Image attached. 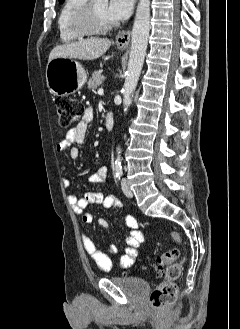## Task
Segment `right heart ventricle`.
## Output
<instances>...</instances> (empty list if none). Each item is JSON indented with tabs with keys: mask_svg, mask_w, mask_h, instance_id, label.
I'll use <instances>...</instances> for the list:
<instances>
[{
	"mask_svg": "<svg viewBox=\"0 0 240 329\" xmlns=\"http://www.w3.org/2000/svg\"><path fill=\"white\" fill-rule=\"evenodd\" d=\"M86 0H65L57 19L60 38L63 42H75L91 34L79 32L74 20L85 5Z\"/></svg>",
	"mask_w": 240,
	"mask_h": 329,
	"instance_id": "e07e8e85",
	"label": "right heart ventricle"
}]
</instances>
